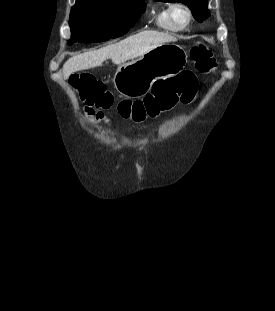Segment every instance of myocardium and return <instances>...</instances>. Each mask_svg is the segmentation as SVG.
<instances>
[{
  "label": "myocardium",
  "mask_w": 275,
  "mask_h": 311,
  "mask_svg": "<svg viewBox=\"0 0 275 311\" xmlns=\"http://www.w3.org/2000/svg\"><path fill=\"white\" fill-rule=\"evenodd\" d=\"M177 9L184 10L186 15H187V20H186L184 25L180 26V25L176 24V22L174 20V16L173 15H174L175 10H177ZM168 16H169L170 23L178 31H182V30L186 29L190 25V23L192 21V11H191V9L186 4H184L182 2H176V3L171 4L170 7H169V10H168Z\"/></svg>",
  "instance_id": "obj_1"
}]
</instances>
